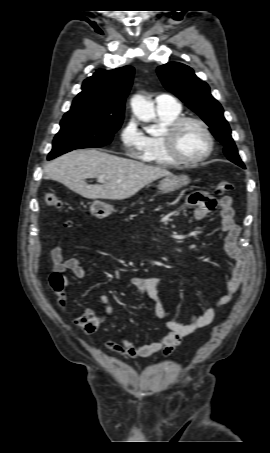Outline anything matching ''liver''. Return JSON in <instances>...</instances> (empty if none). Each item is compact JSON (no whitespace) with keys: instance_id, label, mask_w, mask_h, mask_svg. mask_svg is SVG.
<instances>
[{"instance_id":"liver-1","label":"liver","mask_w":270,"mask_h":453,"mask_svg":"<svg viewBox=\"0 0 270 453\" xmlns=\"http://www.w3.org/2000/svg\"><path fill=\"white\" fill-rule=\"evenodd\" d=\"M46 178L60 182L88 199L123 200L135 195L151 182L171 175L165 167L150 166L95 149L68 152L50 161ZM102 177V185H88L87 178Z\"/></svg>"}]
</instances>
